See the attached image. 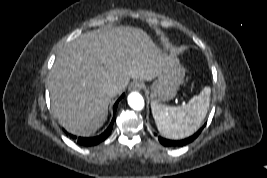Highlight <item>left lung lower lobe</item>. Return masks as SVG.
Returning <instances> with one entry per match:
<instances>
[{"mask_svg": "<svg viewBox=\"0 0 267 178\" xmlns=\"http://www.w3.org/2000/svg\"><path fill=\"white\" fill-rule=\"evenodd\" d=\"M203 127L200 128L194 135L182 139V140H169V139H165L162 137H158L159 142L166 146V147H180V146H184L190 142H192L194 139H196L198 137V135L201 133Z\"/></svg>", "mask_w": 267, "mask_h": 178, "instance_id": "0a47b994", "label": "left lung lower lobe"}]
</instances>
